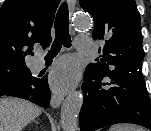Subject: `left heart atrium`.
I'll list each match as a JSON object with an SVG mask.
<instances>
[{
    "instance_id": "1",
    "label": "left heart atrium",
    "mask_w": 151,
    "mask_h": 131,
    "mask_svg": "<svg viewBox=\"0 0 151 131\" xmlns=\"http://www.w3.org/2000/svg\"><path fill=\"white\" fill-rule=\"evenodd\" d=\"M77 79L75 65L69 60L57 63L50 73V83L57 93H63L71 88Z\"/></svg>"
}]
</instances>
